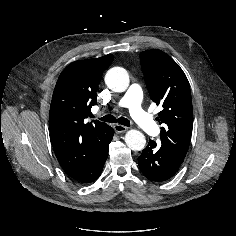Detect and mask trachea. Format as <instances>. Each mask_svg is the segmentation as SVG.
<instances>
[{
  "mask_svg": "<svg viewBox=\"0 0 236 236\" xmlns=\"http://www.w3.org/2000/svg\"><path fill=\"white\" fill-rule=\"evenodd\" d=\"M101 121L108 122V123H116L118 122L119 124H122L124 126H130V121L124 117H120L116 119L114 115H105L101 118H99Z\"/></svg>",
  "mask_w": 236,
  "mask_h": 236,
  "instance_id": "1",
  "label": "trachea"
}]
</instances>
